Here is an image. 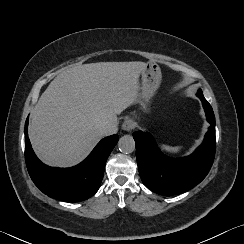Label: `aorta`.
I'll return each instance as SVG.
<instances>
[{"label":"aorta","instance_id":"762f6f07","mask_svg":"<svg viewBox=\"0 0 244 244\" xmlns=\"http://www.w3.org/2000/svg\"><path fill=\"white\" fill-rule=\"evenodd\" d=\"M118 148L123 154H130L135 150V140L131 135H124L119 139Z\"/></svg>","mask_w":244,"mask_h":244}]
</instances>
